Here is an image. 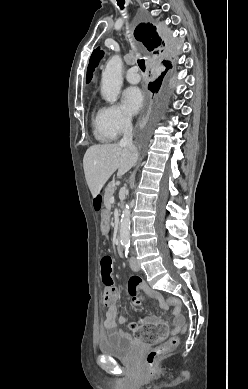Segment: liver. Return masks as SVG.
Returning <instances> with one entry per match:
<instances>
[{
	"label": "liver",
	"instance_id": "obj_1",
	"mask_svg": "<svg viewBox=\"0 0 248 389\" xmlns=\"http://www.w3.org/2000/svg\"><path fill=\"white\" fill-rule=\"evenodd\" d=\"M137 155L119 144H99L89 147L83 158V168L93 197L97 196L111 175L127 173L136 163Z\"/></svg>",
	"mask_w": 248,
	"mask_h": 389
}]
</instances>
